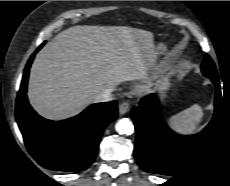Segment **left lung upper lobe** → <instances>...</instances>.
Instances as JSON below:
<instances>
[{"instance_id":"5c2ea615","label":"left lung upper lobe","mask_w":230,"mask_h":186,"mask_svg":"<svg viewBox=\"0 0 230 186\" xmlns=\"http://www.w3.org/2000/svg\"><path fill=\"white\" fill-rule=\"evenodd\" d=\"M201 69L204 76L210 79L218 77L215 65L209 55L205 56Z\"/></svg>"}]
</instances>
